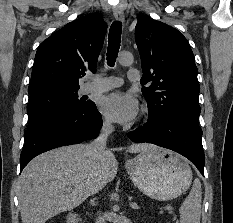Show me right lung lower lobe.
Masks as SVG:
<instances>
[{
	"instance_id": "1",
	"label": "right lung lower lobe",
	"mask_w": 233,
	"mask_h": 223,
	"mask_svg": "<svg viewBox=\"0 0 233 223\" xmlns=\"http://www.w3.org/2000/svg\"><path fill=\"white\" fill-rule=\"evenodd\" d=\"M101 126V115L92 102L80 110L28 128L24 134L25 145L20 156V171L31 159L43 152L97 137Z\"/></svg>"
}]
</instances>
